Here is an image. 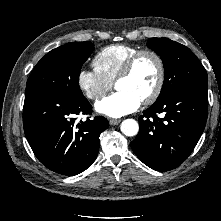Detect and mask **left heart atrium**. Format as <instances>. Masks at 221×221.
I'll use <instances>...</instances> for the list:
<instances>
[{
	"instance_id": "left-heart-atrium-1",
	"label": "left heart atrium",
	"mask_w": 221,
	"mask_h": 221,
	"mask_svg": "<svg viewBox=\"0 0 221 221\" xmlns=\"http://www.w3.org/2000/svg\"><path fill=\"white\" fill-rule=\"evenodd\" d=\"M141 103V99L133 93L118 91L99 101L95 108L101 114L118 118L136 111Z\"/></svg>"
}]
</instances>
